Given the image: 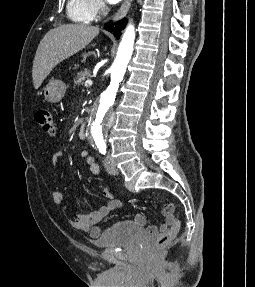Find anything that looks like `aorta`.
<instances>
[{"mask_svg": "<svg viewBox=\"0 0 255 287\" xmlns=\"http://www.w3.org/2000/svg\"><path fill=\"white\" fill-rule=\"evenodd\" d=\"M135 30L129 25L121 39L116 59L111 66V82L108 88L101 94L97 104L91 111L87 125V137L90 142L103 147L107 138V124L110 110L114 104L116 93L126 71L133 52Z\"/></svg>", "mask_w": 255, "mask_h": 287, "instance_id": "762f6f07", "label": "aorta"}]
</instances>
